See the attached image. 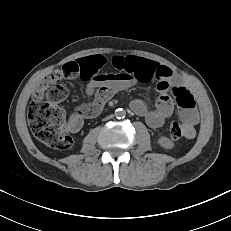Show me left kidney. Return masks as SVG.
<instances>
[{
  "label": "left kidney",
  "mask_w": 231,
  "mask_h": 231,
  "mask_svg": "<svg viewBox=\"0 0 231 231\" xmlns=\"http://www.w3.org/2000/svg\"><path fill=\"white\" fill-rule=\"evenodd\" d=\"M158 143L161 147L165 149H172L174 147V143L167 137L159 138Z\"/></svg>",
  "instance_id": "left-kidney-1"
}]
</instances>
